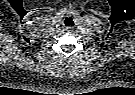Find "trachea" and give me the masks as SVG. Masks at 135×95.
Returning a JSON list of instances; mask_svg holds the SVG:
<instances>
[{"label":"trachea","instance_id":"1","mask_svg":"<svg viewBox=\"0 0 135 95\" xmlns=\"http://www.w3.org/2000/svg\"><path fill=\"white\" fill-rule=\"evenodd\" d=\"M64 24H65V26H67V27H72V26H74V21L72 20V18H66V19L64 20Z\"/></svg>","mask_w":135,"mask_h":95}]
</instances>
